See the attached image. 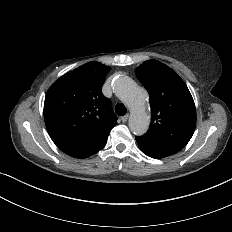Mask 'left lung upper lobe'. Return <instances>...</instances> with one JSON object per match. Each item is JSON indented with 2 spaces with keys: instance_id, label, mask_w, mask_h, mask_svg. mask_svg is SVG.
Segmentation results:
<instances>
[{
  "instance_id": "left-lung-upper-lobe-1",
  "label": "left lung upper lobe",
  "mask_w": 232,
  "mask_h": 232,
  "mask_svg": "<svg viewBox=\"0 0 232 232\" xmlns=\"http://www.w3.org/2000/svg\"><path fill=\"white\" fill-rule=\"evenodd\" d=\"M136 76L149 93L152 109L151 124L143 137L183 149L196 126L195 104L186 84L157 60L140 65Z\"/></svg>"
}]
</instances>
